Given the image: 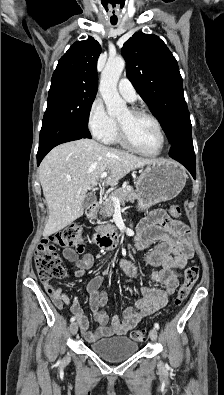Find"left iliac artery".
<instances>
[{
	"instance_id": "44dca946",
	"label": "left iliac artery",
	"mask_w": 224,
	"mask_h": 395,
	"mask_svg": "<svg viewBox=\"0 0 224 395\" xmlns=\"http://www.w3.org/2000/svg\"><path fill=\"white\" fill-rule=\"evenodd\" d=\"M154 328L157 329V330H159V328H160L159 324H158V323H155V324H154Z\"/></svg>"
}]
</instances>
